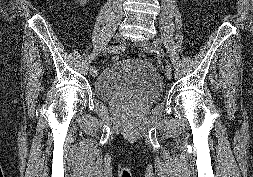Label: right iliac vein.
I'll return each instance as SVG.
<instances>
[{
    "instance_id": "1",
    "label": "right iliac vein",
    "mask_w": 253,
    "mask_h": 177,
    "mask_svg": "<svg viewBox=\"0 0 253 177\" xmlns=\"http://www.w3.org/2000/svg\"><path fill=\"white\" fill-rule=\"evenodd\" d=\"M114 41H115L116 43H121V42L123 41V37H122L121 33H116V34L114 35ZM90 71H91V75H92L93 77H96V76H97V74H98V70H97V69H96V70H91V69H90Z\"/></svg>"
}]
</instances>
